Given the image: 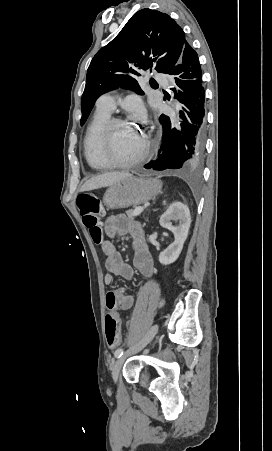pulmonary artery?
<instances>
[{
    "mask_svg": "<svg viewBox=\"0 0 272 451\" xmlns=\"http://www.w3.org/2000/svg\"><path fill=\"white\" fill-rule=\"evenodd\" d=\"M157 74L158 75L155 78L159 81V86L161 87L162 91L165 93L169 92L171 90V87L169 86V81L166 80V74L161 73L160 71ZM97 107L111 112L115 107L114 95L110 93L102 95L97 100Z\"/></svg>",
    "mask_w": 272,
    "mask_h": 451,
    "instance_id": "pulmonary-artery-1",
    "label": "pulmonary artery"
}]
</instances>
